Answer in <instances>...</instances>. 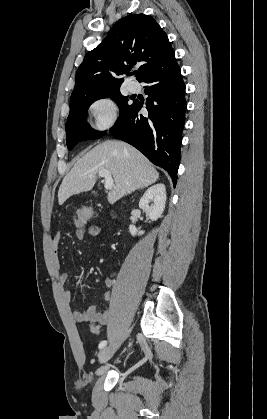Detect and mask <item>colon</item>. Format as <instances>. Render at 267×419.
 Returning <instances> with one entry per match:
<instances>
[{
  "mask_svg": "<svg viewBox=\"0 0 267 419\" xmlns=\"http://www.w3.org/2000/svg\"><path fill=\"white\" fill-rule=\"evenodd\" d=\"M94 215V209L92 207H83L78 210L75 216V224L83 225L86 224L89 219ZM91 330L93 333H100V327L98 325H91Z\"/></svg>",
  "mask_w": 267,
  "mask_h": 419,
  "instance_id": "colon-1",
  "label": "colon"
}]
</instances>
